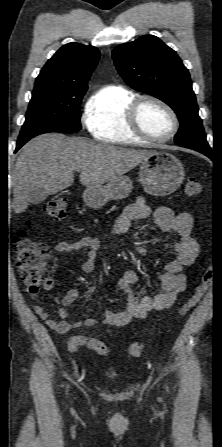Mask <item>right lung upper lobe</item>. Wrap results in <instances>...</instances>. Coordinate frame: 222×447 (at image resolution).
<instances>
[{
  "mask_svg": "<svg viewBox=\"0 0 222 447\" xmlns=\"http://www.w3.org/2000/svg\"><path fill=\"white\" fill-rule=\"evenodd\" d=\"M100 57L96 47L79 43L62 46L42 68L35 87H48L66 95H82Z\"/></svg>",
  "mask_w": 222,
  "mask_h": 447,
  "instance_id": "1",
  "label": "right lung upper lobe"
}]
</instances>
